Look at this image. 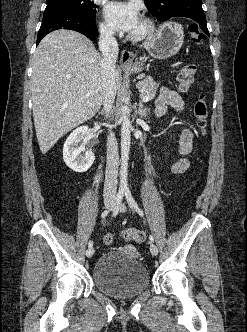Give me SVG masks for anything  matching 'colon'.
Returning <instances> with one entry per match:
<instances>
[{"mask_svg":"<svg viewBox=\"0 0 247 332\" xmlns=\"http://www.w3.org/2000/svg\"><path fill=\"white\" fill-rule=\"evenodd\" d=\"M188 32L192 40L196 43L203 41L206 38L205 33L196 24H191L188 27ZM196 76V66L193 64L185 65L181 68L178 74V84L181 91H186L194 82ZM193 114L196 124L202 133L206 132L208 106L204 93H200L193 106ZM121 237L126 241H134L142 243L146 240L144 231L134 228H125L121 231ZM106 245H111L114 241L112 234L107 233L103 237Z\"/></svg>","mask_w":247,"mask_h":332,"instance_id":"obj_1","label":"colon"}]
</instances>
